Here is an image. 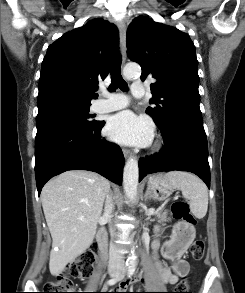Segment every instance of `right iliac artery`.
I'll list each match as a JSON object with an SVG mask.
<instances>
[{
  "mask_svg": "<svg viewBox=\"0 0 245 293\" xmlns=\"http://www.w3.org/2000/svg\"><path fill=\"white\" fill-rule=\"evenodd\" d=\"M124 273H126V270H124ZM117 281H118V278H113V279H110L108 281V284L109 285H114Z\"/></svg>",
  "mask_w": 245,
  "mask_h": 293,
  "instance_id": "obj_1",
  "label": "right iliac artery"
}]
</instances>
